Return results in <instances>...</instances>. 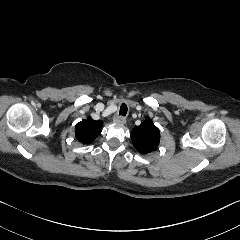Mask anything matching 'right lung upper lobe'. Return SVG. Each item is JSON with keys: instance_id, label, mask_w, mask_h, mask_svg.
<instances>
[{"instance_id": "obj_1", "label": "right lung upper lobe", "mask_w": 240, "mask_h": 240, "mask_svg": "<svg viewBox=\"0 0 240 240\" xmlns=\"http://www.w3.org/2000/svg\"><path fill=\"white\" fill-rule=\"evenodd\" d=\"M102 122L91 118L82 120L75 126L76 138L84 144H89L101 133Z\"/></svg>"}]
</instances>
